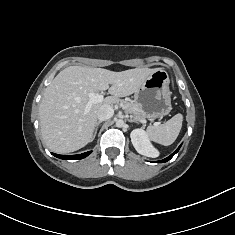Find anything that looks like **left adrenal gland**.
Listing matches in <instances>:
<instances>
[{
  "label": "left adrenal gland",
  "instance_id": "a2214340",
  "mask_svg": "<svg viewBox=\"0 0 235 235\" xmlns=\"http://www.w3.org/2000/svg\"><path fill=\"white\" fill-rule=\"evenodd\" d=\"M129 122H135L133 119H128Z\"/></svg>",
  "mask_w": 235,
  "mask_h": 235
}]
</instances>
